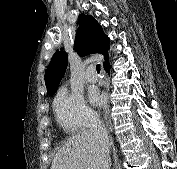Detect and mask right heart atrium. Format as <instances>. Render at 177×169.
I'll use <instances>...</instances> for the list:
<instances>
[{"label": "right heart atrium", "mask_w": 177, "mask_h": 169, "mask_svg": "<svg viewBox=\"0 0 177 169\" xmlns=\"http://www.w3.org/2000/svg\"><path fill=\"white\" fill-rule=\"evenodd\" d=\"M58 125L66 132H76L96 120V113L86 104L81 93L61 87L53 101Z\"/></svg>", "instance_id": "right-heart-atrium-1"}]
</instances>
